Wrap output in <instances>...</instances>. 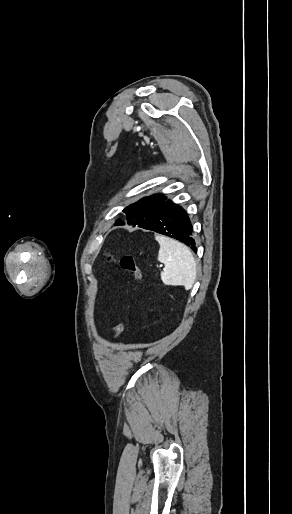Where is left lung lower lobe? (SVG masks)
<instances>
[{
  "label": "left lung lower lobe",
  "mask_w": 292,
  "mask_h": 514,
  "mask_svg": "<svg viewBox=\"0 0 292 514\" xmlns=\"http://www.w3.org/2000/svg\"><path fill=\"white\" fill-rule=\"evenodd\" d=\"M145 229L175 238L197 252L192 224L186 211L170 200L160 215Z\"/></svg>",
  "instance_id": "0a47b994"
}]
</instances>
